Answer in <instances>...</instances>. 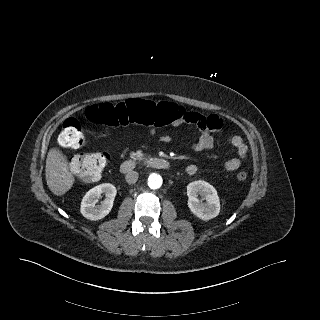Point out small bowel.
<instances>
[{"label":"small bowel","instance_id":"obj_1","mask_svg":"<svg viewBox=\"0 0 320 320\" xmlns=\"http://www.w3.org/2000/svg\"><path fill=\"white\" fill-rule=\"evenodd\" d=\"M180 112L181 117L175 119L172 122L173 125L177 126L181 123L195 124L200 130V136L194 144L193 149L202 151L211 148L214 144L212 131L221 129L223 121L217 116H205L195 111H187L183 108H180ZM151 133L153 134L154 130H151ZM161 139L162 141L167 142L169 141L170 136L165 135L161 137ZM230 143L236 150L237 156L226 161L224 167L227 171L232 172L237 170L247 157L248 146L238 135L233 136ZM197 171L198 167L195 164H189L185 168V173L189 176L195 175Z\"/></svg>","mask_w":320,"mask_h":320}]
</instances>
